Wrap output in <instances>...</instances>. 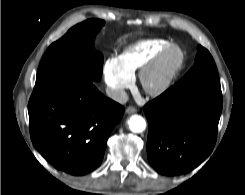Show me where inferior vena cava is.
<instances>
[{
	"mask_svg": "<svg viewBox=\"0 0 245 195\" xmlns=\"http://www.w3.org/2000/svg\"><path fill=\"white\" fill-rule=\"evenodd\" d=\"M106 94L109 98L120 104H125L128 101V95L123 89H113L111 87H107Z\"/></svg>",
	"mask_w": 245,
	"mask_h": 195,
	"instance_id": "inferior-vena-cava-1",
	"label": "inferior vena cava"
}]
</instances>
